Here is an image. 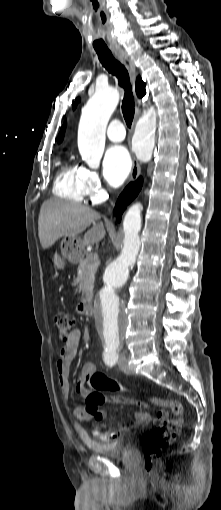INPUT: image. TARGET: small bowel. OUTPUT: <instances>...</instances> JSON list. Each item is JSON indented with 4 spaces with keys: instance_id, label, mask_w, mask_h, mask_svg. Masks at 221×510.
Returning <instances> with one entry per match:
<instances>
[{
    "instance_id": "1",
    "label": "small bowel",
    "mask_w": 221,
    "mask_h": 510,
    "mask_svg": "<svg viewBox=\"0 0 221 510\" xmlns=\"http://www.w3.org/2000/svg\"><path fill=\"white\" fill-rule=\"evenodd\" d=\"M81 340V333L79 330H75L70 339L62 346L59 351V359L57 361V374H58V384L60 391L63 397L68 400L70 398V382L69 375L72 363L78 353L79 345ZM96 372V368L92 363H86L82 366L79 378L75 384L76 391L86 397L93 390L89 385L88 379L90 375ZM96 409L105 411L101 409V405L96 407ZM73 415L81 420V421H89L94 419V415L90 412L86 405L85 406H77L72 410ZM151 421V417L147 412H137L133 415V423L127 426L122 427L118 431H114L108 434H102L99 431L95 430L94 434L99 436L104 440H116L123 435L127 434L132 428L143 426L148 424Z\"/></svg>"
}]
</instances>
